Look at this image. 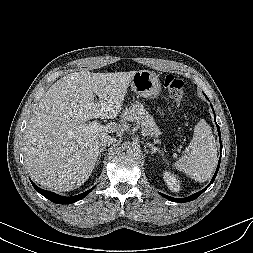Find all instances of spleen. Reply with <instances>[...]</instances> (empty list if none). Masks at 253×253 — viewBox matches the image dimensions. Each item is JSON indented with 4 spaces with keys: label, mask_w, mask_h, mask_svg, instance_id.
<instances>
[{
    "label": "spleen",
    "mask_w": 253,
    "mask_h": 253,
    "mask_svg": "<svg viewBox=\"0 0 253 253\" xmlns=\"http://www.w3.org/2000/svg\"><path fill=\"white\" fill-rule=\"evenodd\" d=\"M217 164V146L211 127L202 119L194 128L187 152L173 166L198 182L208 180Z\"/></svg>",
    "instance_id": "obj_1"
}]
</instances>
